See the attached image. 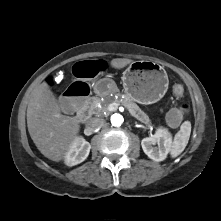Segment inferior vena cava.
<instances>
[{
  "label": "inferior vena cava",
  "instance_id": "obj_1",
  "mask_svg": "<svg viewBox=\"0 0 221 221\" xmlns=\"http://www.w3.org/2000/svg\"><path fill=\"white\" fill-rule=\"evenodd\" d=\"M104 125V119L102 118H90L87 122H86V128L90 131H94L98 128H101Z\"/></svg>",
  "mask_w": 221,
  "mask_h": 221
}]
</instances>
